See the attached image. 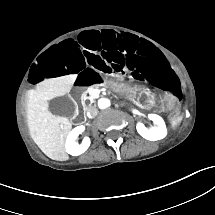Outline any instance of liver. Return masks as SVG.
Masks as SVG:
<instances>
[{"instance_id": "1", "label": "liver", "mask_w": 215, "mask_h": 215, "mask_svg": "<svg viewBox=\"0 0 215 215\" xmlns=\"http://www.w3.org/2000/svg\"><path fill=\"white\" fill-rule=\"evenodd\" d=\"M77 74L45 79L29 90L27 123L30 136L38 147L51 159L66 156L64 144L72 124L67 117L55 116L48 110V100L69 93Z\"/></svg>"}]
</instances>
